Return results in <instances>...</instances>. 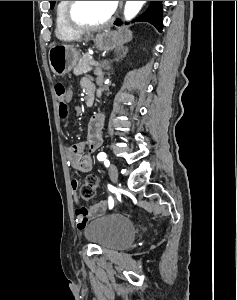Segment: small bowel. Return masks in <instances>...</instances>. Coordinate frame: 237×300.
Listing matches in <instances>:
<instances>
[{"label":"small bowel","mask_w":237,"mask_h":300,"mask_svg":"<svg viewBox=\"0 0 237 300\" xmlns=\"http://www.w3.org/2000/svg\"><path fill=\"white\" fill-rule=\"evenodd\" d=\"M82 86L86 91L93 89V84L89 79H83ZM72 98V91H67L68 101L70 102ZM103 124L104 114L102 112L95 114L87 126V139L74 143L69 149L70 162L72 166L80 172H88L92 168L91 155L102 144ZM78 185L77 180L74 179L71 181V187L74 191L77 190ZM106 207V201H101L91 206H78L76 209V224L78 229H83L91 216L103 211Z\"/></svg>","instance_id":"obj_1"}]
</instances>
